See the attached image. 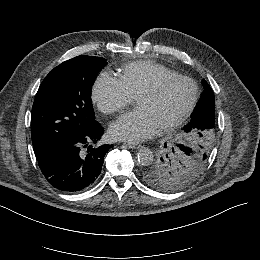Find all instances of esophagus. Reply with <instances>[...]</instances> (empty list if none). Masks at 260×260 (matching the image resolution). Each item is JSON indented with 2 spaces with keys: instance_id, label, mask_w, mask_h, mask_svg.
Returning a JSON list of instances; mask_svg holds the SVG:
<instances>
[{
  "instance_id": "1",
  "label": "esophagus",
  "mask_w": 260,
  "mask_h": 260,
  "mask_svg": "<svg viewBox=\"0 0 260 260\" xmlns=\"http://www.w3.org/2000/svg\"><path fill=\"white\" fill-rule=\"evenodd\" d=\"M124 145H126L127 147L132 148V149H138L141 147L140 144L132 143V142L124 143Z\"/></svg>"
}]
</instances>
